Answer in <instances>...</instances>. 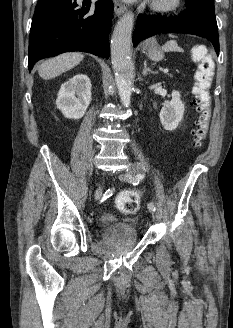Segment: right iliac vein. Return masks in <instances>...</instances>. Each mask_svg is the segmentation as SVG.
Here are the masks:
<instances>
[{"instance_id":"1","label":"right iliac vein","mask_w":233,"mask_h":328,"mask_svg":"<svg viewBox=\"0 0 233 328\" xmlns=\"http://www.w3.org/2000/svg\"><path fill=\"white\" fill-rule=\"evenodd\" d=\"M102 195V188L99 186L98 189L96 190L95 196L96 198H100Z\"/></svg>"}]
</instances>
